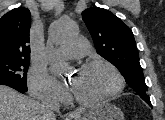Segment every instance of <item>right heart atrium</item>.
I'll use <instances>...</instances> for the list:
<instances>
[{"mask_svg": "<svg viewBox=\"0 0 165 120\" xmlns=\"http://www.w3.org/2000/svg\"><path fill=\"white\" fill-rule=\"evenodd\" d=\"M28 85L31 95L38 100L62 102L66 99L63 88L44 70L33 69L29 75Z\"/></svg>", "mask_w": 165, "mask_h": 120, "instance_id": "right-heart-atrium-1", "label": "right heart atrium"}]
</instances>
